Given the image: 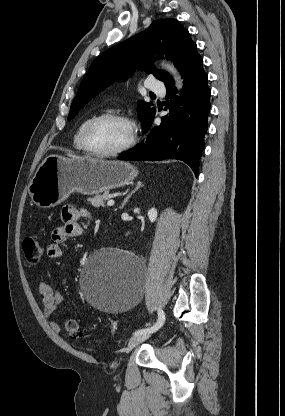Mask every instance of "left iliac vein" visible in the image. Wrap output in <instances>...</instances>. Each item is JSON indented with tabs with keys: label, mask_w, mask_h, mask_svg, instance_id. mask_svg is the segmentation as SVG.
Masks as SVG:
<instances>
[{
	"label": "left iliac vein",
	"mask_w": 285,
	"mask_h": 416,
	"mask_svg": "<svg viewBox=\"0 0 285 416\" xmlns=\"http://www.w3.org/2000/svg\"><path fill=\"white\" fill-rule=\"evenodd\" d=\"M157 330H158V329H156L155 331H157ZM155 331H153V332H148V333H144V334H138V335L133 336V337L130 339V341H129V344H128V349H132V348H134V347H136V346L140 345L143 341H145L146 339H148V338H149V336H150L152 333H154Z\"/></svg>",
	"instance_id": "left-iliac-vein-1"
}]
</instances>
